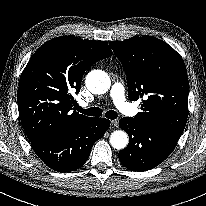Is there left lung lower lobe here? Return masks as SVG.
Listing matches in <instances>:
<instances>
[{
  "label": "left lung lower lobe",
  "mask_w": 206,
  "mask_h": 206,
  "mask_svg": "<svg viewBox=\"0 0 206 206\" xmlns=\"http://www.w3.org/2000/svg\"><path fill=\"white\" fill-rule=\"evenodd\" d=\"M119 125L130 138L128 146L119 152V160L132 171L150 170L162 163L180 138V135L141 125L131 117L121 118Z\"/></svg>",
  "instance_id": "obj_1"
}]
</instances>
